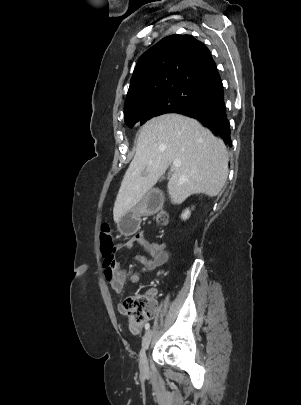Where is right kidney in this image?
<instances>
[{
    "label": "right kidney",
    "instance_id": "obj_1",
    "mask_svg": "<svg viewBox=\"0 0 301 405\" xmlns=\"http://www.w3.org/2000/svg\"><path fill=\"white\" fill-rule=\"evenodd\" d=\"M190 214H191L190 210H189V209H186V210L182 213L181 218H182L183 220H186V219L189 218Z\"/></svg>",
    "mask_w": 301,
    "mask_h": 405
}]
</instances>
